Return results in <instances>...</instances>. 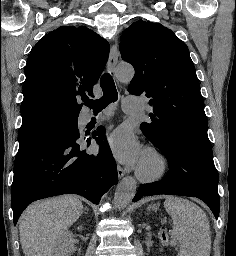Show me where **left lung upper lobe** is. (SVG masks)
<instances>
[{"label":"left lung upper lobe","instance_id":"left-lung-upper-lobe-1","mask_svg":"<svg viewBox=\"0 0 236 256\" xmlns=\"http://www.w3.org/2000/svg\"><path fill=\"white\" fill-rule=\"evenodd\" d=\"M120 52L135 69L129 92L151 98L152 122L141 123L143 134L161 151L184 143L211 148L204 101L186 44L163 25L139 20L123 32Z\"/></svg>","mask_w":236,"mask_h":256}]
</instances>
